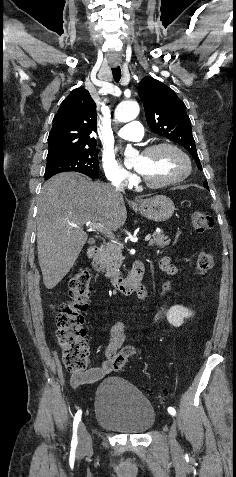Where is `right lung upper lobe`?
Returning a JSON list of instances; mask_svg holds the SVG:
<instances>
[{
  "mask_svg": "<svg viewBox=\"0 0 236 477\" xmlns=\"http://www.w3.org/2000/svg\"><path fill=\"white\" fill-rule=\"evenodd\" d=\"M97 128L96 104L89 92L74 89L61 104L48 136L47 160L75 153L96 145L90 134Z\"/></svg>",
  "mask_w": 236,
  "mask_h": 477,
  "instance_id": "obj_1",
  "label": "right lung upper lobe"
}]
</instances>
